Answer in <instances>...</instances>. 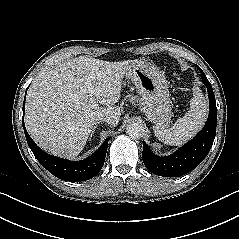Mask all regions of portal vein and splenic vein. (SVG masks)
I'll return each instance as SVG.
<instances>
[{
  "instance_id": "18ae733b",
  "label": "portal vein and splenic vein",
  "mask_w": 239,
  "mask_h": 239,
  "mask_svg": "<svg viewBox=\"0 0 239 239\" xmlns=\"http://www.w3.org/2000/svg\"><path fill=\"white\" fill-rule=\"evenodd\" d=\"M88 91L90 92V99H89V103L92 107H97V103L95 101L94 98V90L93 87L91 85H88Z\"/></svg>"
}]
</instances>
